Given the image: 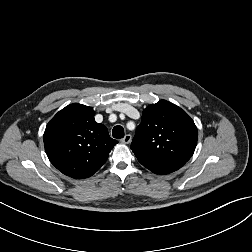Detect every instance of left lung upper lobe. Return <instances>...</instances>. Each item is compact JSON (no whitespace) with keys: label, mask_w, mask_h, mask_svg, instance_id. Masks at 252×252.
Returning <instances> with one entry per match:
<instances>
[{"label":"left lung upper lobe","mask_w":252,"mask_h":252,"mask_svg":"<svg viewBox=\"0 0 252 252\" xmlns=\"http://www.w3.org/2000/svg\"><path fill=\"white\" fill-rule=\"evenodd\" d=\"M197 138V127L186 112L161 100L143 110L131 149L138 161L178 159L187 162L194 153Z\"/></svg>","instance_id":"obj_1"}]
</instances>
